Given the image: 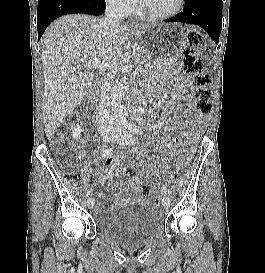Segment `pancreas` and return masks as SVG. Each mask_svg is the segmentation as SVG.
Listing matches in <instances>:
<instances>
[{
	"label": "pancreas",
	"instance_id": "pancreas-1",
	"mask_svg": "<svg viewBox=\"0 0 265 273\" xmlns=\"http://www.w3.org/2000/svg\"><path fill=\"white\" fill-rule=\"evenodd\" d=\"M133 56L135 57V62L138 64L139 67H141L150 59L142 48H136Z\"/></svg>",
	"mask_w": 265,
	"mask_h": 273
}]
</instances>
